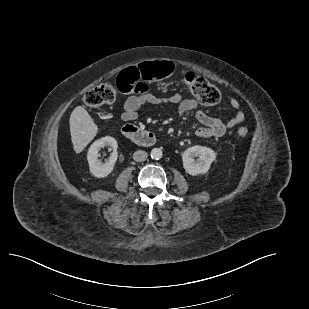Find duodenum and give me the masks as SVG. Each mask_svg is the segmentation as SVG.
<instances>
[{
  "mask_svg": "<svg viewBox=\"0 0 309 309\" xmlns=\"http://www.w3.org/2000/svg\"><path fill=\"white\" fill-rule=\"evenodd\" d=\"M122 134L125 138L141 146H152L156 142L153 132L130 124L122 128Z\"/></svg>",
  "mask_w": 309,
  "mask_h": 309,
  "instance_id": "1",
  "label": "duodenum"
}]
</instances>
